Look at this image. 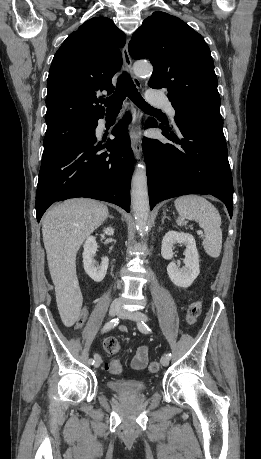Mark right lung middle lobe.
<instances>
[{"mask_svg": "<svg viewBox=\"0 0 261 459\" xmlns=\"http://www.w3.org/2000/svg\"><path fill=\"white\" fill-rule=\"evenodd\" d=\"M97 120H65L48 126L44 138L42 160L95 136Z\"/></svg>", "mask_w": 261, "mask_h": 459, "instance_id": "right-lung-middle-lobe-1", "label": "right lung middle lobe"}]
</instances>
